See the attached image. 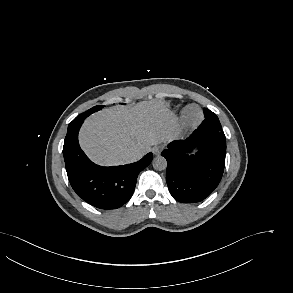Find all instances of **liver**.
Returning a JSON list of instances; mask_svg holds the SVG:
<instances>
[{
  "instance_id": "1",
  "label": "liver",
  "mask_w": 293,
  "mask_h": 293,
  "mask_svg": "<svg viewBox=\"0 0 293 293\" xmlns=\"http://www.w3.org/2000/svg\"><path fill=\"white\" fill-rule=\"evenodd\" d=\"M175 114L159 101H141L133 107L117 105L99 111L83 123L79 142L95 163H131L130 155L143 156L151 146L169 142L177 135Z\"/></svg>"
}]
</instances>
